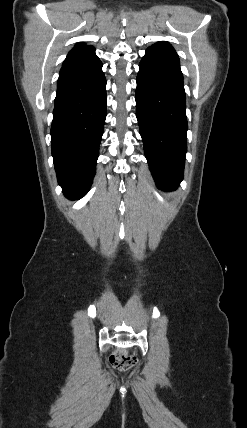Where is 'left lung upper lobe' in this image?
I'll return each mask as SVG.
<instances>
[{
	"label": "left lung upper lobe",
	"mask_w": 247,
	"mask_h": 428,
	"mask_svg": "<svg viewBox=\"0 0 247 428\" xmlns=\"http://www.w3.org/2000/svg\"><path fill=\"white\" fill-rule=\"evenodd\" d=\"M151 47L157 48V49L162 50V51H168V52H172V53L176 54L174 48L168 42H165V41L158 42V43L152 45Z\"/></svg>",
	"instance_id": "left-lung-upper-lobe-1"
}]
</instances>
